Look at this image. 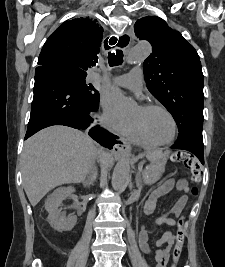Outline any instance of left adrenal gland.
I'll return each instance as SVG.
<instances>
[{
    "instance_id": "a2214340",
    "label": "left adrenal gland",
    "mask_w": 225,
    "mask_h": 267,
    "mask_svg": "<svg viewBox=\"0 0 225 267\" xmlns=\"http://www.w3.org/2000/svg\"><path fill=\"white\" fill-rule=\"evenodd\" d=\"M136 185L139 189L142 188L141 181H140V173L136 175Z\"/></svg>"
}]
</instances>
